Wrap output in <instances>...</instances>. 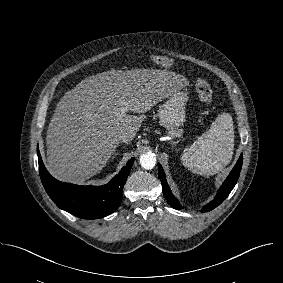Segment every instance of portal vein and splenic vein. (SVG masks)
Wrapping results in <instances>:
<instances>
[{
	"instance_id": "obj_1",
	"label": "portal vein and splenic vein",
	"mask_w": 283,
	"mask_h": 283,
	"mask_svg": "<svg viewBox=\"0 0 283 283\" xmlns=\"http://www.w3.org/2000/svg\"><path fill=\"white\" fill-rule=\"evenodd\" d=\"M128 111V107L127 106H121L120 109L116 112V115L118 117H122L125 115V113Z\"/></svg>"
}]
</instances>
